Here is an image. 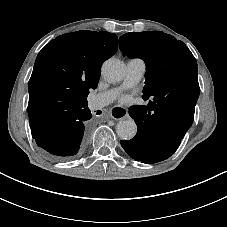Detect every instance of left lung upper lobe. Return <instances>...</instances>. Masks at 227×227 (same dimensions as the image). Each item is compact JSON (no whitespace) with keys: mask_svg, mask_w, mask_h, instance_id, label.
<instances>
[{"mask_svg":"<svg viewBox=\"0 0 227 227\" xmlns=\"http://www.w3.org/2000/svg\"><path fill=\"white\" fill-rule=\"evenodd\" d=\"M121 51L139 57L147 65L143 99H173L189 88L199 90L197 63L188 47L160 31L126 33L119 39Z\"/></svg>","mask_w":227,"mask_h":227,"instance_id":"left-lung-upper-lobe-1","label":"left lung upper lobe"}]
</instances>
